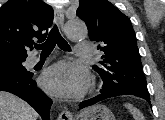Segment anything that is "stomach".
Returning a JSON list of instances; mask_svg holds the SVG:
<instances>
[{"mask_svg":"<svg viewBox=\"0 0 165 120\" xmlns=\"http://www.w3.org/2000/svg\"><path fill=\"white\" fill-rule=\"evenodd\" d=\"M78 120H115V116L108 107L97 104L85 109Z\"/></svg>","mask_w":165,"mask_h":120,"instance_id":"1","label":"stomach"}]
</instances>
